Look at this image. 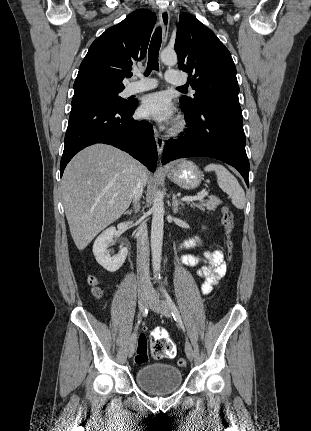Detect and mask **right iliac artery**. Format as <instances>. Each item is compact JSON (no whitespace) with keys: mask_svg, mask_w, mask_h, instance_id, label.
<instances>
[{"mask_svg":"<svg viewBox=\"0 0 311 431\" xmlns=\"http://www.w3.org/2000/svg\"><path fill=\"white\" fill-rule=\"evenodd\" d=\"M148 313V310H147V308H145L143 311H142V316L144 317L146 314ZM141 321H142V317H140V319L138 320V322H137V324H136V329L138 328V326L140 325V323H141Z\"/></svg>","mask_w":311,"mask_h":431,"instance_id":"1","label":"right iliac artery"}]
</instances>
